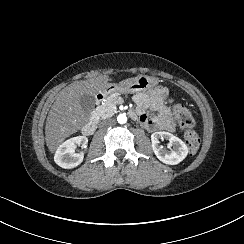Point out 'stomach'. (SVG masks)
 <instances>
[{
	"instance_id": "1",
	"label": "stomach",
	"mask_w": 244,
	"mask_h": 244,
	"mask_svg": "<svg viewBox=\"0 0 244 244\" xmlns=\"http://www.w3.org/2000/svg\"><path fill=\"white\" fill-rule=\"evenodd\" d=\"M155 80L153 78H147L146 76L138 77L136 80L127 79L117 84H107L106 88L102 91L106 95H110L117 91L134 93L143 89H146L148 85H153Z\"/></svg>"
}]
</instances>
